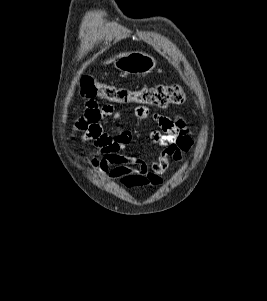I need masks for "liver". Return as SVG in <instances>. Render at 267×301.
<instances>
[{"label": "liver", "mask_w": 267, "mask_h": 301, "mask_svg": "<svg viewBox=\"0 0 267 301\" xmlns=\"http://www.w3.org/2000/svg\"><path fill=\"white\" fill-rule=\"evenodd\" d=\"M124 54H120L118 57H121V56H123ZM115 59H110V60H108V61H106V64H108V63H111L112 61H114Z\"/></svg>", "instance_id": "liver-1"}]
</instances>
